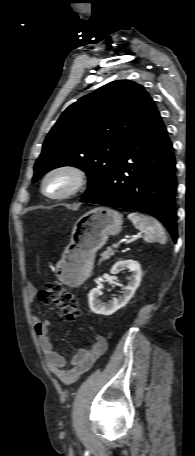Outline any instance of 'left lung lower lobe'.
Instances as JSON below:
<instances>
[{"label": "left lung lower lobe", "instance_id": "1", "mask_svg": "<svg viewBox=\"0 0 195 456\" xmlns=\"http://www.w3.org/2000/svg\"><path fill=\"white\" fill-rule=\"evenodd\" d=\"M175 158L155 106L130 133L100 188L81 202L132 209L159 219L177 241Z\"/></svg>", "mask_w": 195, "mask_h": 456}]
</instances>
